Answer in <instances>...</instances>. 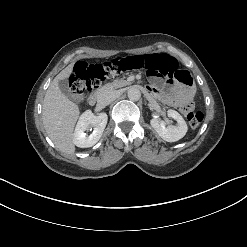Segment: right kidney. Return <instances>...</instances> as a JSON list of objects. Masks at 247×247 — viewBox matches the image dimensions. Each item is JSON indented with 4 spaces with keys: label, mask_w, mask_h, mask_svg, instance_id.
Returning a JSON list of instances; mask_svg holds the SVG:
<instances>
[{
    "label": "right kidney",
    "mask_w": 247,
    "mask_h": 247,
    "mask_svg": "<svg viewBox=\"0 0 247 247\" xmlns=\"http://www.w3.org/2000/svg\"><path fill=\"white\" fill-rule=\"evenodd\" d=\"M107 114L102 112L95 116L92 111H85L79 118L73 134V143L80 148H88L95 145L101 138L107 124ZM94 127V131L87 135L85 131Z\"/></svg>",
    "instance_id": "right-kidney-1"
}]
</instances>
